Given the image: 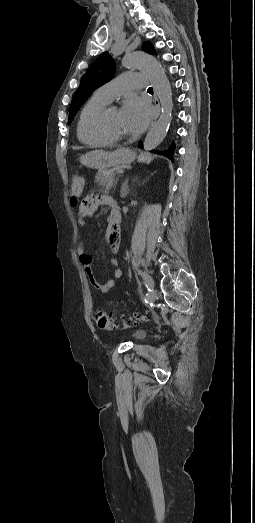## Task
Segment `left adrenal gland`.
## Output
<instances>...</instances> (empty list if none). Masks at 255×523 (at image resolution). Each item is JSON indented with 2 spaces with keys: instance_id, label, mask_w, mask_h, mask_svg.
Here are the masks:
<instances>
[{
  "instance_id": "left-adrenal-gland-1",
  "label": "left adrenal gland",
  "mask_w": 255,
  "mask_h": 523,
  "mask_svg": "<svg viewBox=\"0 0 255 523\" xmlns=\"http://www.w3.org/2000/svg\"><path fill=\"white\" fill-rule=\"evenodd\" d=\"M133 182H135V180H133ZM128 188H129V186H128V178H126L124 184H122L121 198H125V196H127V194H129Z\"/></svg>"
}]
</instances>
